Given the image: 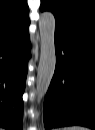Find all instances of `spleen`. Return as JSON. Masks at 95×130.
<instances>
[{
	"label": "spleen",
	"instance_id": "spleen-1",
	"mask_svg": "<svg viewBox=\"0 0 95 130\" xmlns=\"http://www.w3.org/2000/svg\"><path fill=\"white\" fill-rule=\"evenodd\" d=\"M65 130H87V129L81 126H71V127L65 128Z\"/></svg>",
	"mask_w": 95,
	"mask_h": 130
}]
</instances>
